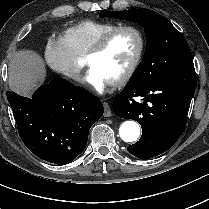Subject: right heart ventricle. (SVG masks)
I'll list each match as a JSON object with an SVG mask.
<instances>
[{
  "instance_id": "1",
  "label": "right heart ventricle",
  "mask_w": 209,
  "mask_h": 209,
  "mask_svg": "<svg viewBox=\"0 0 209 209\" xmlns=\"http://www.w3.org/2000/svg\"><path fill=\"white\" fill-rule=\"evenodd\" d=\"M118 23L100 20H83L66 27L63 36L77 56H85L95 42Z\"/></svg>"
}]
</instances>
